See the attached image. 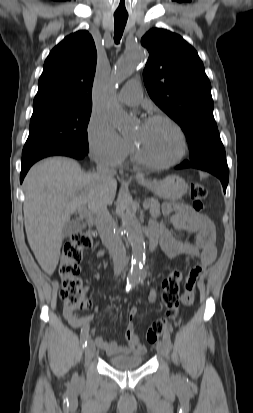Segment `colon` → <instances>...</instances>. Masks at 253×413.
Segmentation results:
<instances>
[{
    "label": "colon",
    "mask_w": 253,
    "mask_h": 413,
    "mask_svg": "<svg viewBox=\"0 0 253 413\" xmlns=\"http://www.w3.org/2000/svg\"><path fill=\"white\" fill-rule=\"evenodd\" d=\"M189 195L193 209L202 214L207 189L201 183L195 182L190 186ZM92 239V231H79L71 236L62 250L58 266V274L61 280L60 297L65 305V310L69 312L86 309L90 306V301L87 299V287L80 277V261L83 251L92 245ZM182 279V271L175 269L163 280L161 299L166 307V316L156 320L149 327L146 337L150 343L156 342L162 336L169 323L177 321Z\"/></svg>",
    "instance_id": "1"
}]
</instances>
